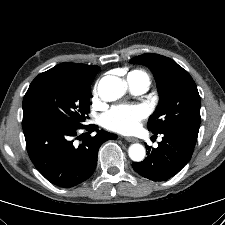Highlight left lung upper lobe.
Masks as SVG:
<instances>
[{"label":"left lung upper lobe","mask_w":225,"mask_h":225,"mask_svg":"<svg viewBox=\"0 0 225 225\" xmlns=\"http://www.w3.org/2000/svg\"><path fill=\"white\" fill-rule=\"evenodd\" d=\"M144 64L154 74L160 102L150 116L147 126L153 134L176 130L198 136L201 100L190 74L172 59L146 53L130 60Z\"/></svg>","instance_id":"1"}]
</instances>
